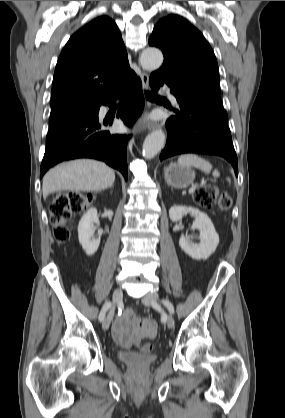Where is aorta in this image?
<instances>
[{"mask_svg":"<svg viewBox=\"0 0 285 418\" xmlns=\"http://www.w3.org/2000/svg\"><path fill=\"white\" fill-rule=\"evenodd\" d=\"M163 63V54L159 49L147 48L140 56L141 66L149 71L160 68ZM165 134L161 130L148 135L143 143L142 153L146 159L154 158L165 144Z\"/></svg>","mask_w":285,"mask_h":418,"instance_id":"1","label":"aorta"}]
</instances>
